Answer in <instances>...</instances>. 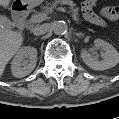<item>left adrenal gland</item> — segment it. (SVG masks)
<instances>
[{
	"instance_id": "left-adrenal-gland-1",
	"label": "left adrenal gland",
	"mask_w": 119,
	"mask_h": 119,
	"mask_svg": "<svg viewBox=\"0 0 119 119\" xmlns=\"http://www.w3.org/2000/svg\"><path fill=\"white\" fill-rule=\"evenodd\" d=\"M75 34H76L77 37H82L83 36V33H81V32H77Z\"/></svg>"
}]
</instances>
